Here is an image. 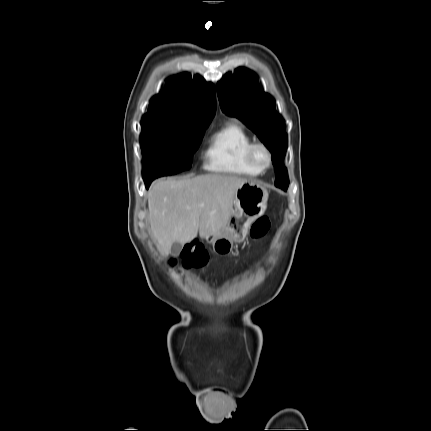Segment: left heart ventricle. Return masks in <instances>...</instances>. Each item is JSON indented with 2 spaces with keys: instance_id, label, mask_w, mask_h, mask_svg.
Here are the masks:
<instances>
[{
  "instance_id": "left-heart-ventricle-1",
  "label": "left heart ventricle",
  "mask_w": 431,
  "mask_h": 431,
  "mask_svg": "<svg viewBox=\"0 0 431 431\" xmlns=\"http://www.w3.org/2000/svg\"><path fill=\"white\" fill-rule=\"evenodd\" d=\"M257 157H258V159L260 161H264L265 160V154L262 151H258Z\"/></svg>"
}]
</instances>
